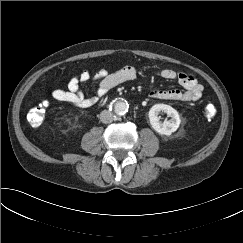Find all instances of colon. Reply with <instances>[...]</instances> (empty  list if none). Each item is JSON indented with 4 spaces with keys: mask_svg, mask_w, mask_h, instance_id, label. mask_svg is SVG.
I'll use <instances>...</instances> for the list:
<instances>
[{
    "mask_svg": "<svg viewBox=\"0 0 243 243\" xmlns=\"http://www.w3.org/2000/svg\"><path fill=\"white\" fill-rule=\"evenodd\" d=\"M48 106V102L44 101L38 106L32 108L27 116V119L31 126L38 127L43 123L45 116V108ZM204 114L208 119H212L216 114V109L214 105L208 104L204 108Z\"/></svg>",
    "mask_w": 243,
    "mask_h": 243,
    "instance_id": "obj_1",
    "label": "colon"
}]
</instances>
